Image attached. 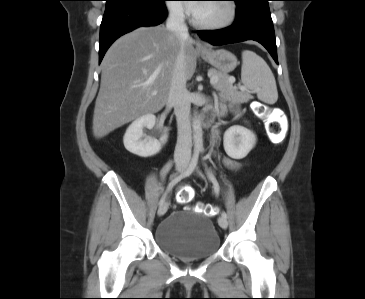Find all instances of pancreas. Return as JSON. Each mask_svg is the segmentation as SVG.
Returning a JSON list of instances; mask_svg holds the SVG:
<instances>
[{
	"instance_id": "1",
	"label": "pancreas",
	"mask_w": 365,
	"mask_h": 299,
	"mask_svg": "<svg viewBox=\"0 0 365 299\" xmlns=\"http://www.w3.org/2000/svg\"><path fill=\"white\" fill-rule=\"evenodd\" d=\"M208 73L211 76H216L218 78V82L214 85V88L220 91L224 98L238 103L247 102L251 98V95L248 92L238 91V89L233 86L234 78L229 77L226 73H222L215 69H210Z\"/></svg>"
}]
</instances>
